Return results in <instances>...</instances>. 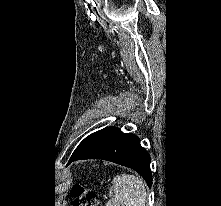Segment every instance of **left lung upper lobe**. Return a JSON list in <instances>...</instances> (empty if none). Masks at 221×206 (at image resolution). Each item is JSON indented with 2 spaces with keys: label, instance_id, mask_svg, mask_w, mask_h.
I'll return each mask as SVG.
<instances>
[{
  "label": "left lung upper lobe",
  "instance_id": "5c2ea615",
  "mask_svg": "<svg viewBox=\"0 0 221 206\" xmlns=\"http://www.w3.org/2000/svg\"><path fill=\"white\" fill-rule=\"evenodd\" d=\"M99 130L97 132H94L92 134H90L88 137H86L76 148V150L74 151V153L72 154V156L78 154L79 152H81L84 148H86L91 142H93L103 131Z\"/></svg>",
  "mask_w": 221,
  "mask_h": 206
}]
</instances>
